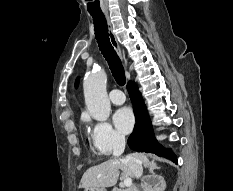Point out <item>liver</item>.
<instances>
[{
    "label": "liver",
    "instance_id": "liver-1",
    "mask_svg": "<svg viewBox=\"0 0 233 191\" xmlns=\"http://www.w3.org/2000/svg\"><path fill=\"white\" fill-rule=\"evenodd\" d=\"M129 156L137 157L145 167H148L149 159L145 154L133 153ZM119 170L122 171L121 178L125 179L133 175L129 167L121 160H108L86 170L79 188L95 189L115 186L120 176Z\"/></svg>",
    "mask_w": 233,
    "mask_h": 191
}]
</instances>
